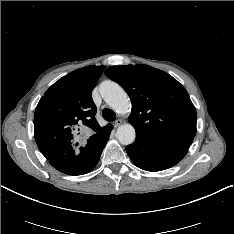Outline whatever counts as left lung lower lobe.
<instances>
[{"label":"left lung lower lobe","mask_w":234,"mask_h":234,"mask_svg":"<svg viewBox=\"0 0 234 234\" xmlns=\"http://www.w3.org/2000/svg\"><path fill=\"white\" fill-rule=\"evenodd\" d=\"M193 142L191 137L136 136L126 147L132 162L146 171H160L176 165Z\"/></svg>","instance_id":"1"}]
</instances>
